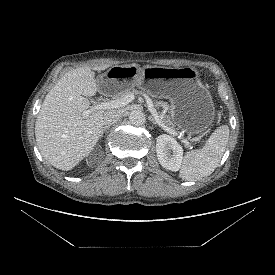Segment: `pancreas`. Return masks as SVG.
<instances>
[{"label":"pancreas","instance_id":"cf45deb5","mask_svg":"<svg viewBox=\"0 0 275 275\" xmlns=\"http://www.w3.org/2000/svg\"><path fill=\"white\" fill-rule=\"evenodd\" d=\"M135 92L136 91L132 88L131 89H126V90H123V91L118 92L117 94H115L114 98L115 99H121V98L125 97L127 94L135 93ZM154 104L157 108L162 109L160 111V118L165 123V125H167L168 127H171V128L174 129L175 123H174L171 115L168 114L170 106L166 102H163V101H156Z\"/></svg>","mask_w":275,"mask_h":275}]
</instances>
